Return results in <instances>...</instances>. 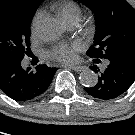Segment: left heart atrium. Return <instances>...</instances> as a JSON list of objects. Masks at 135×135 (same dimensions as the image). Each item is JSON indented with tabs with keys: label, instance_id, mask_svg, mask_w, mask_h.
I'll return each instance as SVG.
<instances>
[{
	"label": "left heart atrium",
	"instance_id": "left-heart-atrium-1",
	"mask_svg": "<svg viewBox=\"0 0 135 135\" xmlns=\"http://www.w3.org/2000/svg\"><path fill=\"white\" fill-rule=\"evenodd\" d=\"M82 49L79 43L59 44L56 45L50 52L49 57L65 63H72L77 59V53Z\"/></svg>",
	"mask_w": 135,
	"mask_h": 135
}]
</instances>
